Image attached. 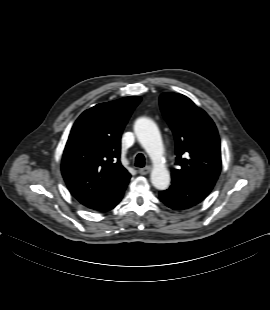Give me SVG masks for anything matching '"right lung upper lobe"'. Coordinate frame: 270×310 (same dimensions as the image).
Here are the masks:
<instances>
[{
	"label": "right lung upper lobe",
	"instance_id": "cb5924a9",
	"mask_svg": "<svg viewBox=\"0 0 270 310\" xmlns=\"http://www.w3.org/2000/svg\"><path fill=\"white\" fill-rule=\"evenodd\" d=\"M141 101L130 96L97 104L74 123L62 158V175L80 202L96 198L130 177L120 162L122 131Z\"/></svg>",
	"mask_w": 270,
	"mask_h": 310
}]
</instances>
